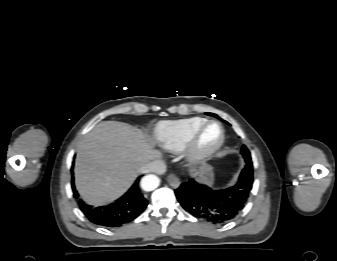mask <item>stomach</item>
Here are the masks:
<instances>
[{"instance_id": "stomach-1", "label": "stomach", "mask_w": 337, "mask_h": 261, "mask_svg": "<svg viewBox=\"0 0 337 261\" xmlns=\"http://www.w3.org/2000/svg\"><path fill=\"white\" fill-rule=\"evenodd\" d=\"M213 177L212 167L208 164H203L200 171V178L202 181L211 185L213 183Z\"/></svg>"}]
</instances>
